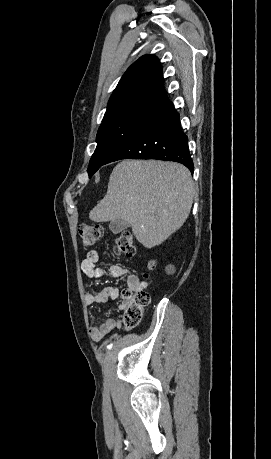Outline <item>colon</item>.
<instances>
[{
  "mask_svg": "<svg viewBox=\"0 0 271 459\" xmlns=\"http://www.w3.org/2000/svg\"><path fill=\"white\" fill-rule=\"evenodd\" d=\"M159 2L164 0H157ZM78 233L85 247H90L102 240L103 229L101 226L92 224H81ZM114 251L117 255L131 257L135 254V245L133 234L129 230L121 232L114 244ZM154 262L150 263V268ZM121 310L124 314V323L126 326H136L142 318L144 308L149 303V295L145 291L124 290Z\"/></svg>",
  "mask_w": 271,
  "mask_h": 459,
  "instance_id": "obj_1",
  "label": "colon"
}]
</instances>
